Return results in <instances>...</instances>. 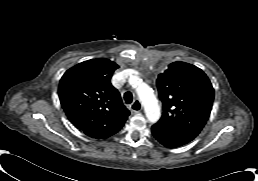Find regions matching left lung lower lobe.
<instances>
[{"instance_id": "0a47b994", "label": "left lung lower lobe", "mask_w": 258, "mask_h": 181, "mask_svg": "<svg viewBox=\"0 0 258 181\" xmlns=\"http://www.w3.org/2000/svg\"><path fill=\"white\" fill-rule=\"evenodd\" d=\"M152 134L162 145L168 148L179 147L195 138L192 135L168 129L157 124L152 126Z\"/></svg>"}]
</instances>
